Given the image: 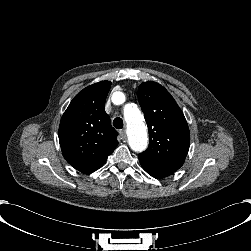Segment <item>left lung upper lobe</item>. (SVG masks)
Returning a JSON list of instances; mask_svg holds the SVG:
<instances>
[{
    "label": "left lung upper lobe",
    "instance_id": "left-lung-upper-lobe-1",
    "mask_svg": "<svg viewBox=\"0 0 251 251\" xmlns=\"http://www.w3.org/2000/svg\"><path fill=\"white\" fill-rule=\"evenodd\" d=\"M138 100L147 122L149 147L138 157L158 167L177 171L190 146V133L183 112L171 94L156 82L138 88Z\"/></svg>",
    "mask_w": 251,
    "mask_h": 251
}]
</instances>
